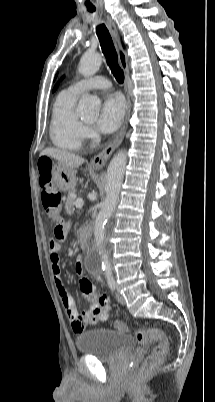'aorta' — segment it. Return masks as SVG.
<instances>
[{"instance_id":"1","label":"aorta","mask_w":215,"mask_h":402,"mask_svg":"<svg viewBox=\"0 0 215 402\" xmlns=\"http://www.w3.org/2000/svg\"><path fill=\"white\" fill-rule=\"evenodd\" d=\"M101 64L102 57L100 54L85 53L79 62V72L85 77L92 76L99 70ZM100 104L101 101L99 98L90 94H84L79 101L77 113L82 118L95 119L98 116ZM126 163V152L119 150L108 166L105 183L106 198L95 224L94 235L96 247L93 256L87 261L89 268H97L101 265L107 278L112 277V269L104 225L112 216L118 204Z\"/></svg>"}]
</instances>
